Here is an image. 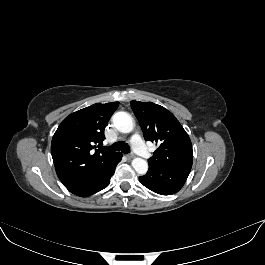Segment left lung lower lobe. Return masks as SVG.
I'll list each match as a JSON object with an SVG mask.
<instances>
[{"instance_id":"1","label":"left lung lower lobe","mask_w":265,"mask_h":265,"mask_svg":"<svg viewBox=\"0 0 265 265\" xmlns=\"http://www.w3.org/2000/svg\"><path fill=\"white\" fill-rule=\"evenodd\" d=\"M190 168L150 167L146 175L140 176V182L151 191L161 195L178 192L186 182Z\"/></svg>"}]
</instances>
